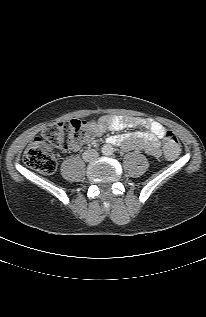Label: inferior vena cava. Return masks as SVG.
Instances as JSON below:
<instances>
[{"mask_svg": "<svg viewBox=\"0 0 206 317\" xmlns=\"http://www.w3.org/2000/svg\"><path fill=\"white\" fill-rule=\"evenodd\" d=\"M99 156L98 152L95 150H88L83 153V159L85 161H92Z\"/></svg>", "mask_w": 206, "mask_h": 317, "instance_id": "1", "label": "inferior vena cava"}]
</instances>
